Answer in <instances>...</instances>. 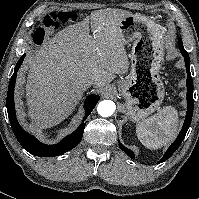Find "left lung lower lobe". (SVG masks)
<instances>
[{
    "label": "left lung lower lobe",
    "instance_id": "left-lung-lower-lobe-1",
    "mask_svg": "<svg viewBox=\"0 0 199 199\" xmlns=\"http://www.w3.org/2000/svg\"><path fill=\"white\" fill-rule=\"evenodd\" d=\"M179 48L180 52L182 53L184 59H185V66H186V72H187V112H186V118L183 124V127L176 138V140L171 144V146L167 149L164 156L161 158L159 163H162L166 161L180 146L181 142L185 138V135L187 133V130L190 127L192 115H193V106H194V99H193V80L190 73V59L187 51L184 49L183 44L181 41H179ZM119 147L121 150H123L130 158H135V154L128 148L124 147L121 143H119Z\"/></svg>",
    "mask_w": 199,
    "mask_h": 199
}]
</instances>
